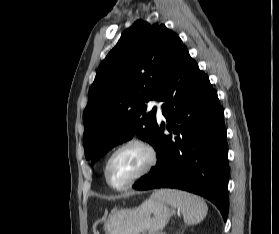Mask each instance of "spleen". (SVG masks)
I'll list each match as a JSON object with an SVG mask.
<instances>
[{"mask_svg":"<svg viewBox=\"0 0 279 234\" xmlns=\"http://www.w3.org/2000/svg\"><path fill=\"white\" fill-rule=\"evenodd\" d=\"M152 197L181 210L184 221L188 225L200 223L207 215L208 207L205 201L191 193L162 189L153 194Z\"/></svg>","mask_w":279,"mask_h":234,"instance_id":"3e777b00","label":"spleen"}]
</instances>
